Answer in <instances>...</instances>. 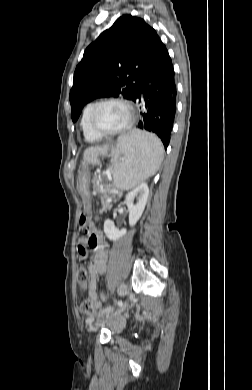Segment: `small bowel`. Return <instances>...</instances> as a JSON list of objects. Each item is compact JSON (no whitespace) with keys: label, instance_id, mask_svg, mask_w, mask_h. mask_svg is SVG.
<instances>
[{"label":"small bowel","instance_id":"obj_1","mask_svg":"<svg viewBox=\"0 0 252 390\" xmlns=\"http://www.w3.org/2000/svg\"><path fill=\"white\" fill-rule=\"evenodd\" d=\"M88 247L95 250L94 257L89 264L88 295L93 303L94 310L97 311L102 307V302L98 296L97 279L107 270L109 249L108 244L103 240L102 233L94 228L88 229L86 235L79 239L77 251L80 258L85 259L87 257Z\"/></svg>","mask_w":252,"mask_h":390}]
</instances>
